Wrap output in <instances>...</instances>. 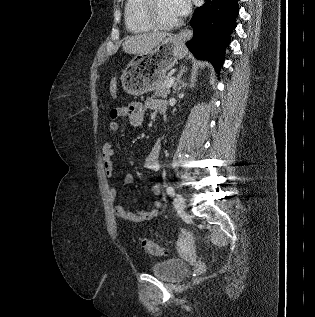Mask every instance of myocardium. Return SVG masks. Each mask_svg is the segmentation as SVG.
I'll use <instances>...</instances> for the list:
<instances>
[{
    "label": "myocardium",
    "instance_id": "obj_1",
    "mask_svg": "<svg viewBox=\"0 0 315 317\" xmlns=\"http://www.w3.org/2000/svg\"><path fill=\"white\" fill-rule=\"evenodd\" d=\"M156 2L157 0H145L143 5V18L154 29L170 30L178 27L181 24V19H177L171 23H161L156 17Z\"/></svg>",
    "mask_w": 315,
    "mask_h": 317
}]
</instances>
